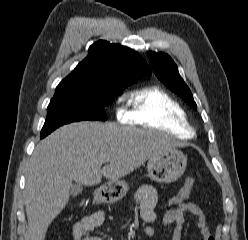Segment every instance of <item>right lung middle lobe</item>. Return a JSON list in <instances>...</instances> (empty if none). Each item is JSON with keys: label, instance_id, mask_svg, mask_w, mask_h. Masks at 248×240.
<instances>
[{"label": "right lung middle lobe", "instance_id": "obj_1", "mask_svg": "<svg viewBox=\"0 0 248 240\" xmlns=\"http://www.w3.org/2000/svg\"><path fill=\"white\" fill-rule=\"evenodd\" d=\"M129 84L116 88H63L56 90L47 108V117L41 130L47 136L56 128L71 122L107 120L105 107L117 93Z\"/></svg>", "mask_w": 248, "mask_h": 240}]
</instances>
